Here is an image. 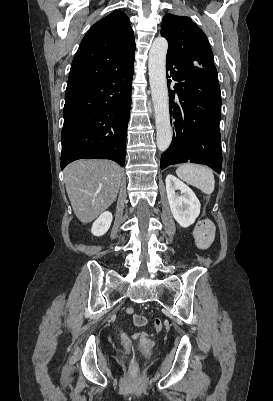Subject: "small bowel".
Returning <instances> with one entry per match:
<instances>
[{
    "label": "small bowel",
    "mask_w": 273,
    "mask_h": 401,
    "mask_svg": "<svg viewBox=\"0 0 273 401\" xmlns=\"http://www.w3.org/2000/svg\"><path fill=\"white\" fill-rule=\"evenodd\" d=\"M198 243V246L201 248V249H206L207 247H208V245H209V243H210V241H198L197 242ZM126 313H125V316L127 317V318H130L131 316H132V311H133V308L131 307V306H128L127 308H126ZM134 321H147L146 319H142L141 317H140V315L138 316V317H135L134 316ZM154 328H155V333L156 334H161L162 333V319L161 318H155L154 319ZM123 336L124 337H127L128 336V333L127 332H124L123 333ZM140 336L142 337V338H145L146 336H147V333L145 332V331H142L141 333H140Z\"/></svg>",
    "instance_id": "small-bowel-1"
}]
</instances>
